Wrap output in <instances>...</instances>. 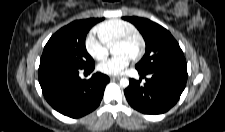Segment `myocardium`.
Masks as SVG:
<instances>
[{"mask_svg": "<svg viewBox=\"0 0 225 132\" xmlns=\"http://www.w3.org/2000/svg\"><path fill=\"white\" fill-rule=\"evenodd\" d=\"M135 40L139 42V50L132 57V59L137 61L143 57V55L145 54V51H146V41L139 32H132V33H128V34L122 36L114 43V46L118 45V44H128Z\"/></svg>", "mask_w": 225, "mask_h": 132, "instance_id": "obj_1", "label": "myocardium"}]
</instances>
